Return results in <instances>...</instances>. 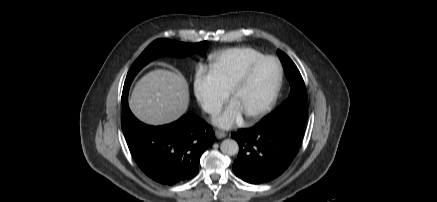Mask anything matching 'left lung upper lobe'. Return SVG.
I'll use <instances>...</instances> for the list:
<instances>
[{
    "instance_id": "left-lung-upper-lobe-1",
    "label": "left lung upper lobe",
    "mask_w": 437,
    "mask_h": 202,
    "mask_svg": "<svg viewBox=\"0 0 437 202\" xmlns=\"http://www.w3.org/2000/svg\"><path fill=\"white\" fill-rule=\"evenodd\" d=\"M277 54L283 65L285 75L290 83L291 94L289 98L276 111L267 115L263 120L280 116H294L301 121H306L308 99L303 78L292 60L282 51Z\"/></svg>"
}]
</instances>
